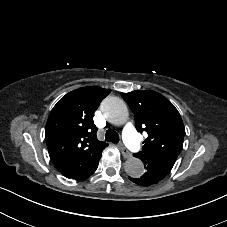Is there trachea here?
Returning a JSON list of instances; mask_svg holds the SVG:
<instances>
[{
  "mask_svg": "<svg viewBox=\"0 0 227 227\" xmlns=\"http://www.w3.org/2000/svg\"><path fill=\"white\" fill-rule=\"evenodd\" d=\"M120 140L119 135L116 131L113 129H108L105 133V141L112 142V143H118Z\"/></svg>",
  "mask_w": 227,
  "mask_h": 227,
  "instance_id": "obj_1",
  "label": "trachea"
}]
</instances>
